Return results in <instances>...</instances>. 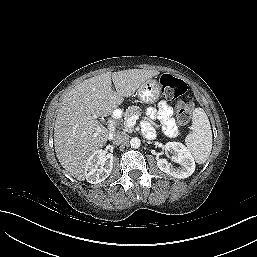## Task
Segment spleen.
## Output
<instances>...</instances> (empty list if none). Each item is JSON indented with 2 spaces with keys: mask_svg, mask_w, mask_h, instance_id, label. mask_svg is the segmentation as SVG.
<instances>
[{
  "mask_svg": "<svg viewBox=\"0 0 257 257\" xmlns=\"http://www.w3.org/2000/svg\"><path fill=\"white\" fill-rule=\"evenodd\" d=\"M187 149L198 164L208 159L212 150V130L209 119L200 107L192 115V133L185 138Z\"/></svg>",
  "mask_w": 257,
  "mask_h": 257,
  "instance_id": "1",
  "label": "spleen"
}]
</instances>
